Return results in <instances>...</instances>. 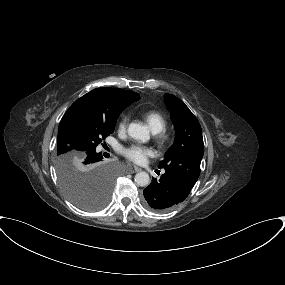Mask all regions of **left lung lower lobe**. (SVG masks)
Here are the masks:
<instances>
[{
  "instance_id": "1",
  "label": "left lung lower lobe",
  "mask_w": 285,
  "mask_h": 285,
  "mask_svg": "<svg viewBox=\"0 0 285 285\" xmlns=\"http://www.w3.org/2000/svg\"><path fill=\"white\" fill-rule=\"evenodd\" d=\"M194 184L178 173L165 170L159 181L153 178L144 189V204L156 212L168 211L186 199Z\"/></svg>"
}]
</instances>
